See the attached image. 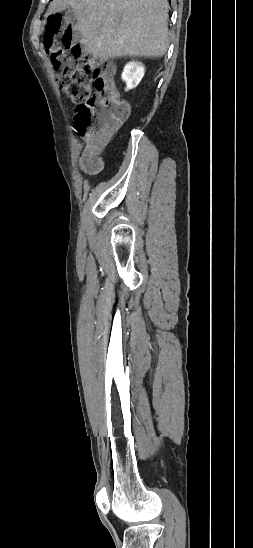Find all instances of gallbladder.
<instances>
[{"label": "gallbladder", "instance_id": "obj_1", "mask_svg": "<svg viewBox=\"0 0 253 548\" xmlns=\"http://www.w3.org/2000/svg\"><path fill=\"white\" fill-rule=\"evenodd\" d=\"M65 18L69 20H74L75 19L74 11L72 9H68L65 13Z\"/></svg>", "mask_w": 253, "mask_h": 548}]
</instances>
